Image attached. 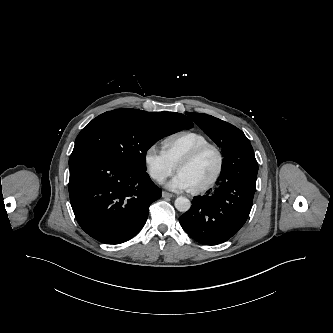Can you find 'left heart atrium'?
Segmentation results:
<instances>
[{
	"instance_id": "39dd6f15",
	"label": "left heart atrium",
	"mask_w": 333,
	"mask_h": 333,
	"mask_svg": "<svg viewBox=\"0 0 333 333\" xmlns=\"http://www.w3.org/2000/svg\"><path fill=\"white\" fill-rule=\"evenodd\" d=\"M167 186L175 191H190L192 189L187 179L181 173L173 177Z\"/></svg>"
}]
</instances>
